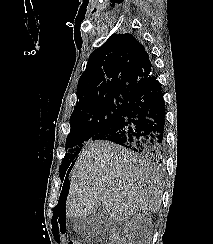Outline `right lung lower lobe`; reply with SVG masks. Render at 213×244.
Returning <instances> with one entry per match:
<instances>
[{
  "mask_svg": "<svg viewBox=\"0 0 213 244\" xmlns=\"http://www.w3.org/2000/svg\"><path fill=\"white\" fill-rule=\"evenodd\" d=\"M165 103L160 84L155 76L128 102L117 122L91 140H107L133 150L142 157L161 163L164 153ZM75 162V161H74ZM65 177L61 195L69 187Z\"/></svg>",
  "mask_w": 213,
  "mask_h": 244,
  "instance_id": "right-lung-lower-lobe-1",
  "label": "right lung lower lobe"
}]
</instances>
